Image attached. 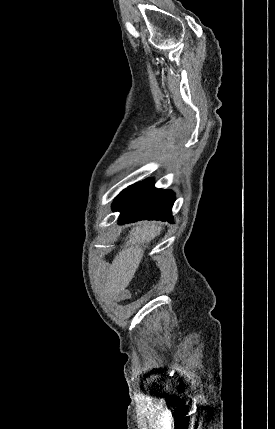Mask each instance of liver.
Listing matches in <instances>:
<instances>
[{
	"label": "liver",
	"instance_id": "1",
	"mask_svg": "<svg viewBox=\"0 0 275 429\" xmlns=\"http://www.w3.org/2000/svg\"><path fill=\"white\" fill-rule=\"evenodd\" d=\"M160 228L158 223L142 222L129 232V239L109 268L108 284L114 292L120 293L129 285L142 258L141 245L154 238Z\"/></svg>",
	"mask_w": 275,
	"mask_h": 429
}]
</instances>
